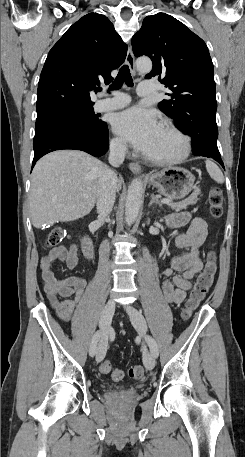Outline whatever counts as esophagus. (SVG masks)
Listing matches in <instances>:
<instances>
[{
    "mask_svg": "<svg viewBox=\"0 0 245 457\" xmlns=\"http://www.w3.org/2000/svg\"><path fill=\"white\" fill-rule=\"evenodd\" d=\"M125 63L129 66L130 71L132 72V74L135 75L136 74L135 60H134L133 51H132V49L130 47H129L128 51H127V56H126ZM129 168H130L131 172H133L135 174H141L144 177H147L146 174H142L141 167H140V165L138 163H130Z\"/></svg>",
    "mask_w": 245,
    "mask_h": 457,
    "instance_id": "1",
    "label": "esophagus"
}]
</instances>
